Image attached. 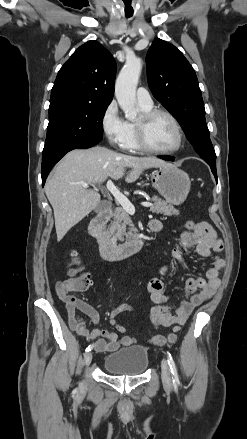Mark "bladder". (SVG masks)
Returning a JSON list of instances; mask_svg holds the SVG:
<instances>
[{
    "label": "bladder",
    "mask_w": 247,
    "mask_h": 439,
    "mask_svg": "<svg viewBox=\"0 0 247 439\" xmlns=\"http://www.w3.org/2000/svg\"><path fill=\"white\" fill-rule=\"evenodd\" d=\"M148 350L141 345H131L105 356L103 368L106 372L120 376H137L148 367Z\"/></svg>",
    "instance_id": "1"
}]
</instances>
